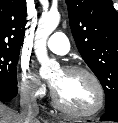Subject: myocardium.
<instances>
[{
    "label": "myocardium",
    "mask_w": 118,
    "mask_h": 123,
    "mask_svg": "<svg viewBox=\"0 0 118 123\" xmlns=\"http://www.w3.org/2000/svg\"><path fill=\"white\" fill-rule=\"evenodd\" d=\"M64 72L68 73H80L84 74L92 81L97 91V102L93 108L86 111H77L67 107L59 98L56 90L52 88L51 95L54 105L64 112L65 114L75 118H88L97 115L104 107L105 104V90L104 87L97 77V75L90 69L81 66H68L63 69Z\"/></svg>",
    "instance_id": "obj_1"
}]
</instances>
